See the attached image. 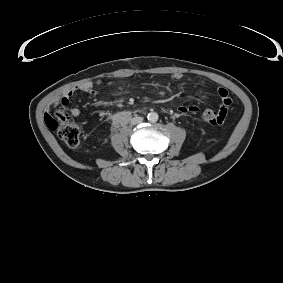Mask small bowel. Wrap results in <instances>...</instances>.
Wrapping results in <instances>:
<instances>
[{
	"label": "small bowel",
	"instance_id": "1",
	"mask_svg": "<svg viewBox=\"0 0 283 283\" xmlns=\"http://www.w3.org/2000/svg\"><path fill=\"white\" fill-rule=\"evenodd\" d=\"M172 80L175 82H178L182 79V75L175 73L172 75ZM99 84V81H88V82H84L82 84H80L75 90L69 91L66 95H65V99H69L71 98L74 93L76 91H80L83 93H87L89 95H94L95 93V86ZM217 94L221 99V105H220V109H226L228 111V109L231 106V99L229 97V93L225 88H218L217 89ZM229 101V103H228ZM199 111V108L196 105H180L178 107V112L180 114H196ZM70 114L72 117H78L80 115V110L76 107H73L70 109Z\"/></svg>",
	"mask_w": 283,
	"mask_h": 283
}]
</instances>
